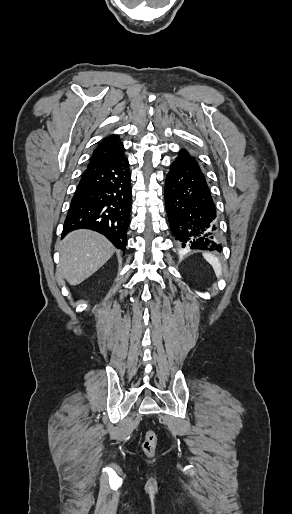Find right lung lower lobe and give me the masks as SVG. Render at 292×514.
<instances>
[{"instance_id":"obj_1","label":"right lung lower lobe","mask_w":292,"mask_h":514,"mask_svg":"<svg viewBox=\"0 0 292 514\" xmlns=\"http://www.w3.org/2000/svg\"><path fill=\"white\" fill-rule=\"evenodd\" d=\"M130 181L124 154L104 163H89L71 200L62 236L76 229H90L124 251L131 211Z\"/></svg>"}]
</instances>
